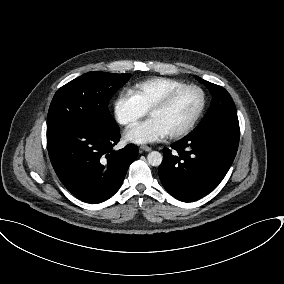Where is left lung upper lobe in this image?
<instances>
[{
  "mask_svg": "<svg viewBox=\"0 0 284 284\" xmlns=\"http://www.w3.org/2000/svg\"><path fill=\"white\" fill-rule=\"evenodd\" d=\"M194 77L200 83L204 84L213 96L207 114L195 131L223 123L238 124L236 107L229 93L221 86L203 80L198 76Z\"/></svg>",
  "mask_w": 284,
  "mask_h": 284,
  "instance_id": "5c2ea615",
  "label": "left lung upper lobe"
}]
</instances>
